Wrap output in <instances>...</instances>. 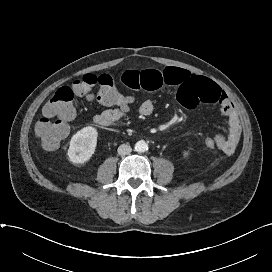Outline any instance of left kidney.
<instances>
[{
    "instance_id": "1",
    "label": "left kidney",
    "mask_w": 272,
    "mask_h": 272,
    "mask_svg": "<svg viewBox=\"0 0 272 272\" xmlns=\"http://www.w3.org/2000/svg\"><path fill=\"white\" fill-rule=\"evenodd\" d=\"M183 156H184V157L188 156V152H187V151H184V152H183Z\"/></svg>"
}]
</instances>
